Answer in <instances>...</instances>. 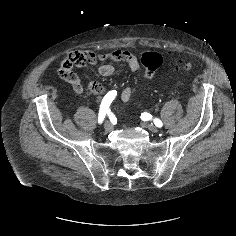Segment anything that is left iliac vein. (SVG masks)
<instances>
[{"label":"left iliac vein","mask_w":236,"mask_h":236,"mask_svg":"<svg viewBox=\"0 0 236 236\" xmlns=\"http://www.w3.org/2000/svg\"><path fill=\"white\" fill-rule=\"evenodd\" d=\"M142 126L144 128H147L149 131L153 132V133H157L158 132V128L154 125L151 124H147V123H142Z\"/></svg>","instance_id":"obj_1"}]
</instances>
